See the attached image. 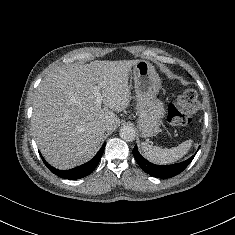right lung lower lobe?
<instances>
[{
	"label": "right lung lower lobe",
	"instance_id": "1",
	"mask_svg": "<svg viewBox=\"0 0 235 235\" xmlns=\"http://www.w3.org/2000/svg\"><path fill=\"white\" fill-rule=\"evenodd\" d=\"M104 149H105V143L103 144V146L101 147V149L98 151V153L95 155V157L93 159H91L89 162H87L81 166H78V167L70 169V170L55 169L54 167L50 166L44 160V158L42 157L41 154H40V156H41L43 162L45 163V165L49 168V170L52 173H54L62 178H65V179H80L82 177L89 175L96 168V166L98 165V163L103 155Z\"/></svg>",
	"mask_w": 235,
	"mask_h": 235
}]
</instances>
